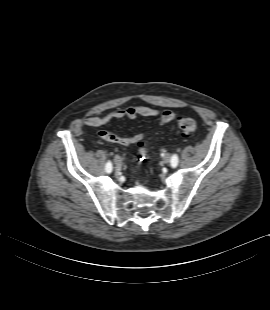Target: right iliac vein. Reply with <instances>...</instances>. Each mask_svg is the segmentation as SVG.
<instances>
[{"mask_svg": "<svg viewBox=\"0 0 270 310\" xmlns=\"http://www.w3.org/2000/svg\"><path fill=\"white\" fill-rule=\"evenodd\" d=\"M114 163H115L116 165H121V163H122L121 157H120V156H115V157H114Z\"/></svg>", "mask_w": 270, "mask_h": 310, "instance_id": "1", "label": "right iliac vein"}]
</instances>
